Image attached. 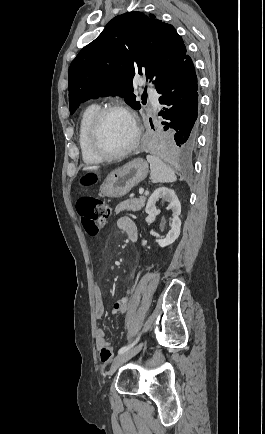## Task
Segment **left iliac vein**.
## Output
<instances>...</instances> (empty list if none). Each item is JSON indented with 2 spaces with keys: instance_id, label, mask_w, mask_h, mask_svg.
I'll list each match as a JSON object with an SVG mask.
<instances>
[{
  "instance_id": "left-iliac-vein-1",
  "label": "left iliac vein",
  "mask_w": 265,
  "mask_h": 434,
  "mask_svg": "<svg viewBox=\"0 0 265 434\" xmlns=\"http://www.w3.org/2000/svg\"><path fill=\"white\" fill-rule=\"evenodd\" d=\"M142 344L129 349L128 351L119 354L114 360L111 365V373H114L119 367H121L124 363H126L130 358H132L135 354L139 352L141 349Z\"/></svg>"
}]
</instances>
